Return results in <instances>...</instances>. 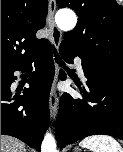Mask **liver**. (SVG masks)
<instances>
[{"label":"liver","mask_w":123,"mask_h":152,"mask_svg":"<svg viewBox=\"0 0 123 152\" xmlns=\"http://www.w3.org/2000/svg\"><path fill=\"white\" fill-rule=\"evenodd\" d=\"M1 152H26L25 144L20 140L1 135Z\"/></svg>","instance_id":"liver-1"}]
</instances>
